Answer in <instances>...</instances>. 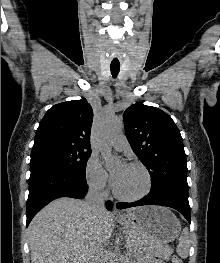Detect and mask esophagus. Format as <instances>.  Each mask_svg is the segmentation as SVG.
Listing matches in <instances>:
<instances>
[{
    "instance_id": "1",
    "label": "esophagus",
    "mask_w": 220,
    "mask_h": 263,
    "mask_svg": "<svg viewBox=\"0 0 220 263\" xmlns=\"http://www.w3.org/2000/svg\"><path fill=\"white\" fill-rule=\"evenodd\" d=\"M113 214H114L115 216H120V212H119L118 210H116V209H114Z\"/></svg>"
}]
</instances>
